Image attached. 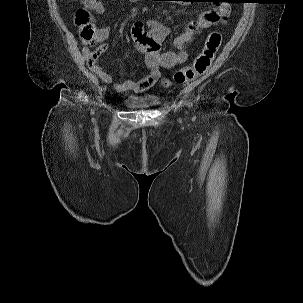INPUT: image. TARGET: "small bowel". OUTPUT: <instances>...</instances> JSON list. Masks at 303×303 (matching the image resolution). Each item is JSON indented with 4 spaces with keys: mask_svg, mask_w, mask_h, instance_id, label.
<instances>
[{
    "mask_svg": "<svg viewBox=\"0 0 303 303\" xmlns=\"http://www.w3.org/2000/svg\"><path fill=\"white\" fill-rule=\"evenodd\" d=\"M129 1L138 2L140 0ZM88 6L97 14H101L105 10L103 0H90ZM229 12V5L221 4L217 8L201 13L197 20L191 21L185 29L175 37L174 46L176 51L167 52L161 51L162 43L170 33V28L167 25L158 19H148L146 22L140 20L135 21L131 26V35L135 42L136 49L144 54L145 62L149 69L148 75L137 80L128 79L122 82H114L112 73L98 63L100 56L108 48L106 43H102L96 49L86 47L83 49V54L90 70L97 74L103 82L113 84L115 90L119 92H144L154 86L156 81L161 77L163 69L176 67L186 61L187 53L185 47L192 41L195 35L205 28L220 23L228 16ZM145 25L148 26L149 31L144 29ZM109 31V28L101 30L100 37L106 39ZM144 40H152V42ZM162 84L166 86L169 82L168 80H163Z\"/></svg>",
    "mask_w": 303,
    "mask_h": 303,
    "instance_id": "obj_1",
    "label": "small bowel"
}]
</instances>
